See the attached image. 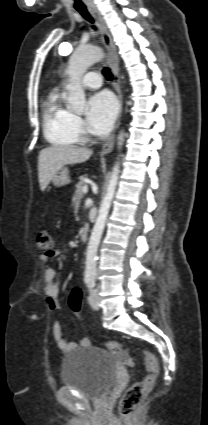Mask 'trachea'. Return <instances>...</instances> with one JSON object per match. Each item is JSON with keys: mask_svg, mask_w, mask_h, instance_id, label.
<instances>
[{"mask_svg": "<svg viewBox=\"0 0 208 425\" xmlns=\"http://www.w3.org/2000/svg\"><path fill=\"white\" fill-rule=\"evenodd\" d=\"M77 11L90 23H94L93 18L91 17V15L89 14L88 10L86 8H81V9H77ZM94 29H96L94 27ZM103 75L108 79V80H112L113 79V75L110 71L109 68H104L102 71Z\"/></svg>", "mask_w": 208, "mask_h": 425, "instance_id": "trachea-1", "label": "trachea"}]
</instances>
